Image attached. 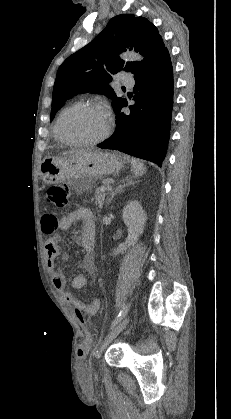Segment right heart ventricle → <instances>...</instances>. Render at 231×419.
<instances>
[{
  "label": "right heart ventricle",
  "mask_w": 231,
  "mask_h": 419,
  "mask_svg": "<svg viewBox=\"0 0 231 419\" xmlns=\"http://www.w3.org/2000/svg\"><path fill=\"white\" fill-rule=\"evenodd\" d=\"M78 103H80V102H79V101H76V102H74V103H72V104H70V105L66 106V107H65V108H63V109L61 110V112L58 114L57 119H56V122H55V125H54V137H55V140H56L57 142H59V143H67L65 140H63V139H62V137L60 136V134H59V132H58V127H57V125H58V120H59L60 116H61V115H62V113H63L65 110H67L69 107H71V106H73V105H75V104H78Z\"/></svg>",
  "instance_id": "e07e8e85"
}]
</instances>
